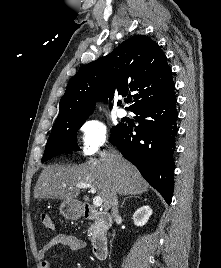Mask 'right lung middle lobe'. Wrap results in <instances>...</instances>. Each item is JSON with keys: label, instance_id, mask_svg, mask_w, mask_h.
<instances>
[{"label": "right lung middle lobe", "instance_id": "1", "mask_svg": "<svg viewBox=\"0 0 221 268\" xmlns=\"http://www.w3.org/2000/svg\"><path fill=\"white\" fill-rule=\"evenodd\" d=\"M88 116L89 115L69 120L55 121L41 161H47L64 152L79 150L76 134ZM121 125L122 124H118L117 126L113 127L111 132L116 130Z\"/></svg>", "mask_w": 221, "mask_h": 268}]
</instances>
